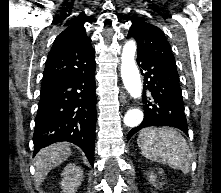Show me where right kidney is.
Returning a JSON list of instances; mask_svg holds the SVG:
<instances>
[{
  "mask_svg": "<svg viewBox=\"0 0 221 193\" xmlns=\"http://www.w3.org/2000/svg\"><path fill=\"white\" fill-rule=\"evenodd\" d=\"M61 188L63 193H75L77 188L81 185L83 178V171L75 164H68L62 174Z\"/></svg>",
  "mask_w": 221,
  "mask_h": 193,
  "instance_id": "1",
  "label": "right kidney"
}]
</instances>
